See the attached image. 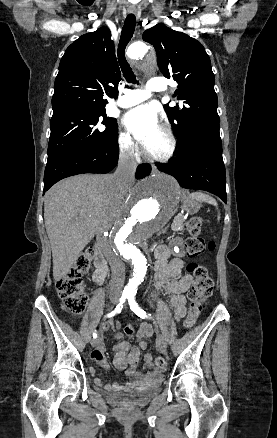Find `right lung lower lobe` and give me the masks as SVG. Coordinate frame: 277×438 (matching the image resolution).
Here are the masks:
<instances>
[{
    "instance_id": "right-lung-lower-lobe-1",
    "label": "right lung lower lobe",
    "mask_w": 277,
    "mask_h": 438,
    "mask_svg": "<svg viewBox=\"0 0 277 438\" xmlns=\"http://www.w3.org/2000/svg\"><path fill=\"white\" fill-rule=\"evenodd\" d=\"M118 142L107 147L69 152L47 161L44 174V192L59 180L81 173H108L118 162ZM150 173V165H139L136 178Z\"/></svg>"
}]
</instances>
